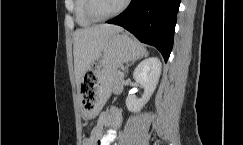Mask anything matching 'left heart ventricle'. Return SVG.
Masks as SVG:
<instances>
[{
  "instance_id": "left-heart-ventricle-1",
  "label": "left heart ventricle",
  "mask_w": 243,
  "mask_h": 145,
  "mask_svg": "<svg viewBox=\"0 0 243 145\" xmlns=\"http://www.w3.org/2000/svg\"><path fill=\"white\" fill-rule=\"evenodd\" d=\"M124 0H95L94 9L98 15H108L117 10Z\"/></svg>"
}]
</instances>
